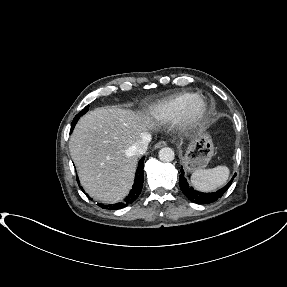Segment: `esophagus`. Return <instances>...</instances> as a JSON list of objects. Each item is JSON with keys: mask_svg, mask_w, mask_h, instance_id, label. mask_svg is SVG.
Returning <instances> with one entry per match:
<instances>
[{"mask_svg": "<svg viewBox=\"0 0 287 287\" xmlns=\"http://www.w3.org/2000/svg\"><path fill=\"white\" fill-rule=\"evenodd\" d=\"M167 145V142L166 141H159L157 142L155 145H154V148H161V147H164Z\"/></svg>", "mask_w": 287, "mask_h": 287, "instance_id": "1", "label": "esophagus"}]
</instances>
